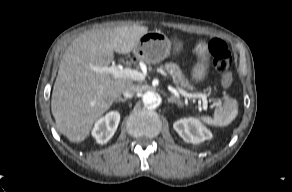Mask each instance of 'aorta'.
<instances>
[{
	"label": "aorta",
	"instance_id": "obj_1",
	"mask_svg": "<svg viewBox=\"0 0 292 192\" xmlns=\"http://www.w3.org/2000/svg\"><path fill=\"white\" fill-rule=\"evenodd\" d=\"M142 101L146 107L156 108L160 104V97L153 91H147L143 94Z\"/></svg>",
	"mask_w": 292,
	"mask_h": 192
}]
</instances>
